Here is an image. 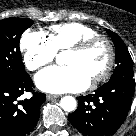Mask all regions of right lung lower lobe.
I'll use <instances>...</instances> for the list:
<instances>
[{"mask_svg": "<svg viewBox=\"0 0 136 136\" xmlns=\"http://www.w3.org/2000/svg\"><path fill=\"white\" fill-rule=\"evenodd\" d=\"M33 87L28 74L14 82L0 83V136H26L36 126L46 95L35 93L30 99L18 101Z\"/></svg>", "mask_w": 136, "mask_h": 136, "instance_id": "obj_1", "label": "right lung lower lobe"}]
</instances>
